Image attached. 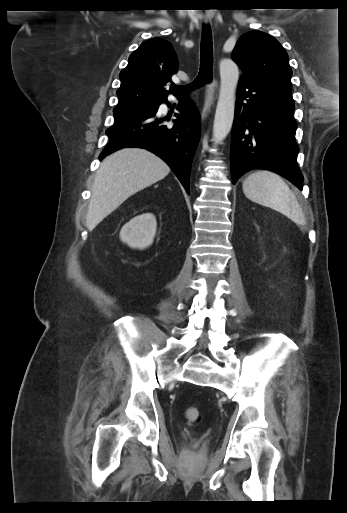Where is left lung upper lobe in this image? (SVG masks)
<instances>
[{
	"instance_id": "5c2ea615",
	"label": "left lung upper lobe",
	"mask_w": 347,
	"mask_h": 513,
	"mask_svg": "<svg viewBox=\"0 0 347 513\" xmlns=\"http://www.w3.org/2000/svg\"><path fill=\"white\" fill-rule=\"evenodd\" d=\"M232 58L243 72L240 79L291 83L292 71L286 51L276 39L264 32L254 30L243 34Z\"/></svg>"
}]
</instances>
